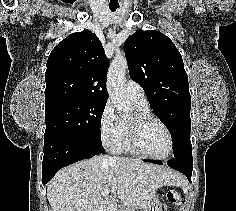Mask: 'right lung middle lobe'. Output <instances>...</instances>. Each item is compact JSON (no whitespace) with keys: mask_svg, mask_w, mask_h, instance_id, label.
<instances>
[{"mask_svg":"<svg viewBox=\"0 0 236 211\" xmlns=\"http://www.w3.org/2000/svg\"><path fill=\"white\" fill-rule=\"evenodd\" d=\"M106 102L91 100H62L45 108L44 138L79 136L101 143V117Z\"/></svg>","mask_w":236,"mask_h":211,"instance_id":"right-lung-middle-lobe-1","label":"right lung middle lobe"}]
</instances>
